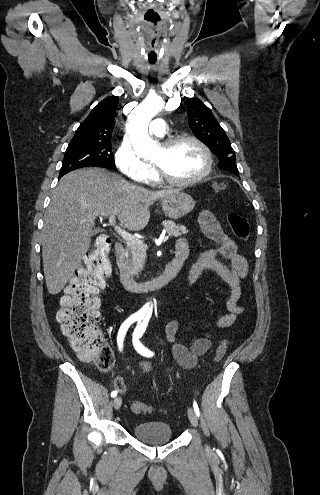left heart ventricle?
Returning a JSON list of instances; mask_svg holds the SVG:
<instances>
[{
  "mask_svg": "<svg viewBox=\"0 0 320 495\" xmlns=\"http://www.w3.org/2000/svg\"><path fill=\"white\" fill-rule=\"evenodd\" d=\"M153 163L175 179H189L204 170L205 157L198 146L183 142L169 150L160 148Z\"/></svg>",
  "mask_w": 320,
  "mask_h": 495,
  "instance_id": "left-heart-ventricle-1",
  "label": "left heart ventricle"
}]
</instances>
